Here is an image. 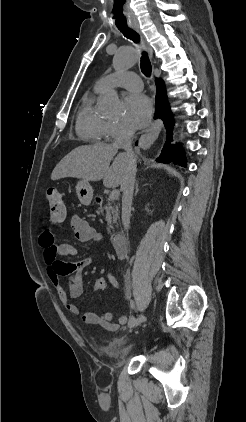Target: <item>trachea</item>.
Masks as SVG:
<instances>
[{"mask_svg": "<svg viewBox=\"0 0 246 422\" xmlns=\"http://www.w3.org/2000/svg\"><path fill=\"white\" fill-rule=\"evenodd\" d=\"M120 6L122 7V2L120 3ZM118 29L126 38L132 40L136 44L140 43V36L136 31L130 29L129 27H118ZM140 66L142 73L146 77H150L152 73V66L148 54L145 51L142 52Z\"/></svg>", "mask_w": 246, "mask_h": 422, "instance_id": "1", "label": "trachea"}]
</instances>
